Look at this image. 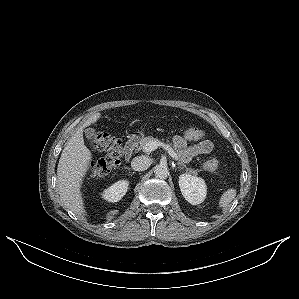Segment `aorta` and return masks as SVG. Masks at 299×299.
<instances>
[{
  "label": "aorta",
  "mask_w": 299,
  "mask_h": 299,
  "mask_svg": "<svg viewBox=\"0 0 299 299\" xmlns=\"http://www.w3.org/2000/svg\"><path fill=\"white\" fill-rule=\"evenodd\" d=\"M155 176L159 179H166L169 175V170L167 165H157L154 170Z\"/></svg>",
  "instance_id": "762f6f07"
}]
</instances>
